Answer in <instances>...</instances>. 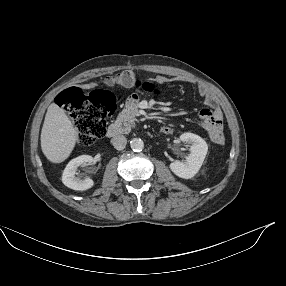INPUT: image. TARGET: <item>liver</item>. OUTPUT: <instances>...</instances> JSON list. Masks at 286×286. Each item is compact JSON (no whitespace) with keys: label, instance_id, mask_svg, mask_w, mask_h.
I'll list each match as a JSON object with an SVG mask.
<instances>
[{"label":"liver","instance_id":"obj_1","mask_svg":"<svg viewBox=\"0 0 286 286\" xmlns=\"http://www.w3.org/2000/svg\"><path fill=\"white\" fill-rule=\"evenodd\" d=\"M40 139L42 152L52 163L65 161L78 140V131L55 103L47 109Z\"/></svg>","mask_w":286,"mask_h":286}]
</instances>
